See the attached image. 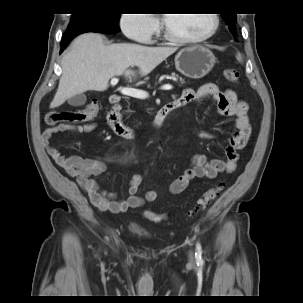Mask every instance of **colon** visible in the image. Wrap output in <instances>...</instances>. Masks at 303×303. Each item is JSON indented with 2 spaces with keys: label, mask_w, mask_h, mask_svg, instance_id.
<instances>
[{
  "label": "colon",
  "mask_w": 303,
  "mask_h": 303,
  "mask_svg": "<svg viewBox=\"0 0 303 303\" xmlns=\"http://www.w3.org/2000/svg\"><path fill=\"white\" fill-rule=\"evenodd\" d=\"M224 76L228 81L237 82L239 80V73L234 68H227L224 70ZM99 109L96 101L90 103L87 107L81 110L72 111H48L45 114L44 122L48 126H55L60 123H83L93 119ZM223 185H217L208 189L195 203L192 213L202 212L207 206L213 202L223 189ZM144 217L152 222H161L164 220L162 214L154 213L152 211H145Z\"/></svg>",
  "instance_id": "1"
}]
</instances>
